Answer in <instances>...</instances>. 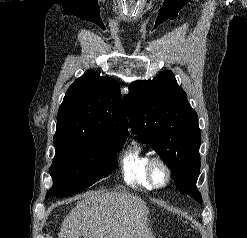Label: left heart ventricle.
I'll use <instances>...</instances> for the list:
<instances>
[{"instance_id": "obj_1", "label": "left heart ventricle", "mask_w": 247, "mask_h": 238, "mask_svg": "<svg viewBox=\"0 0 247 238\" xmlns=\"http://www.w3.org/2000/svg\"><path fill=\"white\" fill-rule=\"evenodd\" d=\"M155 178L158 182H163L165 179V172L162 168L158 167L155 170Z\"/></svg>"}]
</instances>
